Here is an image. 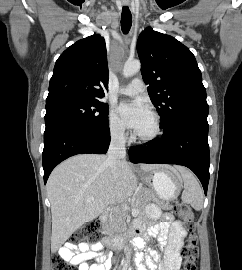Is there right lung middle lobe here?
<instances>
[{"label":"right lung middle lobe","instance_id":"1","mask_svg":"<svg viewBox=\"0 0 242 270\" xmlns=\"http://www.w3.org/2000/svg\"><path fill=\"white\" fill-rule=\"evenodd\" d=\"M108 106L99 100H67L46 105L45 125L57 121H78L93 127L108 123Z\"/></svg>","mask_w":242,"mask_h":270}]
</instances>
